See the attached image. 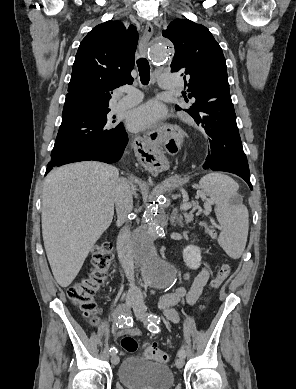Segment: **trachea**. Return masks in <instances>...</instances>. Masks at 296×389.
Wrapping results in <instances>:
<instances>
[{
    "instance_id": "3493384b",
    "label": "trachea",
    "mask_w": 296,
    "mask_h": 389,
    "mask_svg": "<svg viewBox=\"0 0 296 389\" xmlns=\"http://www.w3.org/2000/svg\"><path fill=\"white\" fill-rule=\"evenodd\" d=\"M137 66L141 83L147 85L150 81V65L147 59L139 58L137 60Z\"/></svg>"
}]
</instances>
